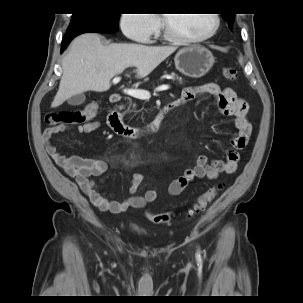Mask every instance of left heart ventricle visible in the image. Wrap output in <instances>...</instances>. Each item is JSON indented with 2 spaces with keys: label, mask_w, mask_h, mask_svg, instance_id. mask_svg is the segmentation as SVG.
<instances>
[{
  "label": "left heart ventricle",
  "mask_w": 303,
  "mask_h": 303,
  "mask_svg": "<svg viewBox=\"0 0 303 303\" xmlns=\"http://www.w3.org/2000/svg\"><path fill=\"white\" fill-rule=\"evenodd\" d=\"M171 28L190 37L206 34L214 25L211 14H167Z\"/></svg>",
  "instance_id": "b2bd125f"
}]
</instances>
